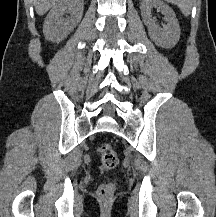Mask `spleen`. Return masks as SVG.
<instances>
[{
    "mask_svg": "<svg viewBox=\"0 0 216 217\" xmlns=\"http://www.w3.org/2000/svg\"><path fill=\"white\" fill-rule=\"evenodd\" d=\"M168 3L176 4L185 16L191 12L193 0H165Z\"/></svg>",
    "mask_w": 216,
    "mask_h": 217,
    "instance_id": "1",
    "label": "spleen"
}]
</instances>
